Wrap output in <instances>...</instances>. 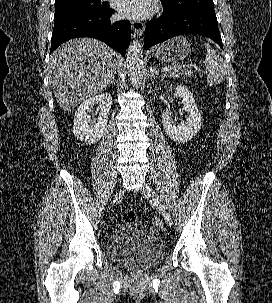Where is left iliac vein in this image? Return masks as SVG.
<instances>
[{
	"mask_svg": "<svg viewBox=\"0 0 272 303\" xmlns=\"http://www.w3.org/2000/svg\"><path fill=\"white\" fill-rule=\"evenodd\" d=\"M143 194L145 195V197H147L149 200H151V202H153L157 206V208L160 210L165 222L169 226H171L172 225L171 215H170L167 207L161 201L157 192L155 190H153L150 186L146 185L143 188Z\"/></svg>",
	"mask_w": 272,
	"mask_h": 303,
	"instance_id": "4c4485c4",
	"label": "left iliac vein"
}]
</instances>
